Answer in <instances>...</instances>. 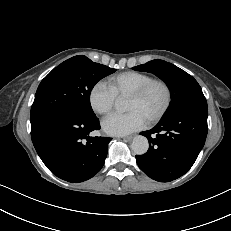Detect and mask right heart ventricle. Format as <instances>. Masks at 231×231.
I'll return each instance as SVG.
<instances>
[{
	"mask_svg": "<svg viewBox=\"0 0 231 231\" xmlns=\"http://www.w3.org/2000/svg\"><path fill=\"white\" fill-rule=\"evenodd\" d=\"M150 79L152 77L147 73L126 71L110 77L108 79V87L118 97L128 96Z\"/></svg>",
	"mask_w": 231,
	"mask_h": 231,
	"instance_id": "e07e8e85",
	"label": "right heart ventricle"
}]
</instances>
